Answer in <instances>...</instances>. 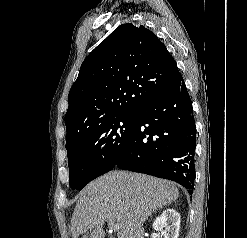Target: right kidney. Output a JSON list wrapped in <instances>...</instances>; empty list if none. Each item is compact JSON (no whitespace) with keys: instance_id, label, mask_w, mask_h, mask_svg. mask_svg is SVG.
Here are the masks:
<instances>
[{"instance_id":"1","label":"right kidney","mask_w":247,"mask_h":238,"mask_svg":"<svg viewBox=\"0 0 247 238\" xmlns=\"http://www.w3.org/2000/svg\"><path fill=\"white\" fill-rule=\"evenodd\" d=\"M180 221V214L176 210L169 208L155 219L153 228L155 231L161 232L164 238H178ZM164 227H166L165 230H163Z\"/></svg>"}]
</instances>
